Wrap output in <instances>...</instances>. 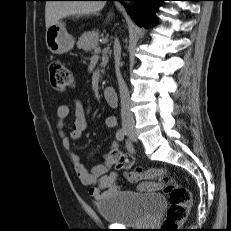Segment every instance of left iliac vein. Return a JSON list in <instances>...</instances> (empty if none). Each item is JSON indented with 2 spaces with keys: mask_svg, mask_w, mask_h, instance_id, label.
<instances>
[{
  "mask_svg": "<svg viewBox=\"0 0 231 231\" xmlns=\"http://www.w3.org/2000/svg\"><path fill=\"white\" fill-rule=\"evenodd\" d=\"M130 139H131V141H134V142H136V141H137L136 135H134V136H130Z\"/></svg>",
  "mask_w": 231,
  "mask_h": 231,
  "instance_id": "4c4485c4",
  "label": "left iliac vein"
}]
</instances>
